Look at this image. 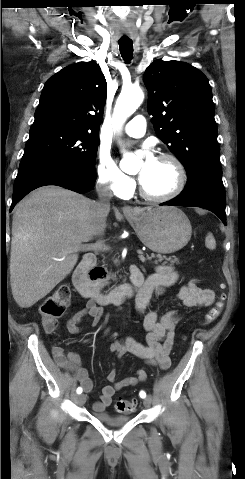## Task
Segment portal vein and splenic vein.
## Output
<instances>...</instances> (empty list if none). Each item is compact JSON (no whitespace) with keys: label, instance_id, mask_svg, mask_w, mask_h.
<instances>
[{"label":"portal vein and splenic vein","instance_id":"portal-vein-and-splenic-vein-1","mask_svg":"<svg viewBox=\"0 0 245 479\" xmlns=\"http://www.w3.org/2000/svg\"><path fill=\"white\" fill-rule=\"evenodd\" d=\"M97 248H101V247L99 245H93V244H82L79 246L78 250H94ZM137 253L141 256L143 255V251L141 250H137Z\"/></svg>","mask_w":245,"mask_h":479}]
</instances>
